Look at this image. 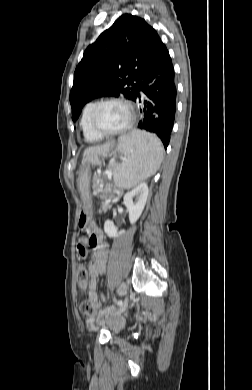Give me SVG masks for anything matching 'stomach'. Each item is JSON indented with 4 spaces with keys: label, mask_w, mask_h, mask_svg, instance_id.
Listing matches in <instances>:
<instances>
[{
    "label": "stomach",
    "mask_w": 252,
    "mask_h": 390,
    "mask_svg": "<svg viewBox=\"0 0 252 390\" xmlns=\"http://www.w3.org/2000/svg\"><path fill=\"white\" fill-rule=\"evenodd\" d=\"M112 145L107 146V150L98 149V150H88L84 154L83 166L79 178V188L81 192V198L83 202V207L79 214V223L88 224L92 218V202L90 197V168L93 166H98L101 164V158L108 156L109 151L111 150Z\"/></svg>",
    "instance_id": "0dacf381"
}]
</instances>
